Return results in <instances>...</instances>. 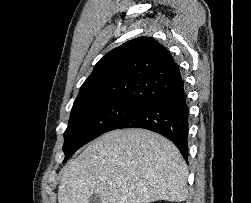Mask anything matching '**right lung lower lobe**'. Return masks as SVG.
I'll use <instances>...</instances> for the list:
<instances>
[{
	"label": "right lung lower lobe",
	"mask_w": 251,
	"mask_h": 203,
	"mask_svg": "<svg viewBox=\"0 0 251 203\" xmlns=\"http://www.w3.org/2000/svg\"><path fill=\"white\" fill-rule=\"evenodd\" d=\"M143 128L172 141L188 159L189 108L183 84L167 95L142 106L120 121L113 130Z\"/></svg>",
	"instance_id": "obj_1"
}]
</instances>
